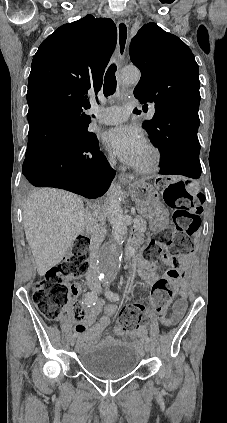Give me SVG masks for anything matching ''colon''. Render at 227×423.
<instances>
[{
	"mask_svg": "<svg viewBox=\"0 0 227 423\" xmlns=\"http://www.w3.org/2000/svg\"><path fill=\"white\" fill-rule=\"evenodd\" d=\"M157 185L163 191L166 204L174 209L173 222L175 230L165 228L156 239L151 241L145 253V259L150 262L165 258L170 269L167 276L158 280L152 287L151 302L160 313L166 311L175 292L176 283L182 278L183 272L176 256L192 249V235L200 227L202 205L198 196L192 191L188 182H167L158 180ZM90 239L79 235L67 257L57 266L51 268L44 278L37 281L33 288V301L40 313L48 320H58L70 294H74V285L68 281L85 274L88 268V248ZM167 247L168 254L162 248ZM143 305L136 303L120 310L118 323L127 330H137L144 323ZM76 320L83 318V310L77 308L74 312Z\"/></svg>",
	"mask_w": 227,
	"mask_h": 423,
	"instance_id": "5ec220e1",
	"label": "colon"
}]
</instances>
